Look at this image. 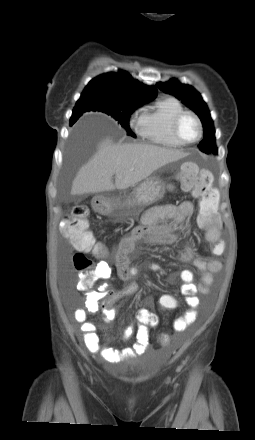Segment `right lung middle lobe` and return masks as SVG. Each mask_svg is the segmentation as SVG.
<instances>
[{
    "label": "right lung middle lobe",
    "instance_id": "right-lung-middle-lobe-1",
    "mask_svg": "<svg viewBox=\"0 0 255 440\" xmlns=\"http://www.w3.org/2000/svg\"><path fill=\"white\" fill-rule=\"evenodd\" d=\"M144 103L145 102H133V103L113 102L92 96H81L76 103V107L73 110V114L76 117L75 119L76 122L78 118L82 115V113L87 111H98V112L106 113L107 115H110L116 121H118V123L127 130L128 132L127 135L135 137V134L131 132L129 127V117L133 111H135L138 107H140Z\"/></svg>",
    "mask_w": 255,
    "mask_h": 440
}]
</instances>
